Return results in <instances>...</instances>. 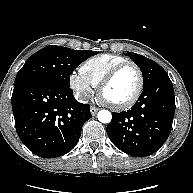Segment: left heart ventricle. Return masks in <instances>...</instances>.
<instances>
[{
	"instance_id": "1",
	"label": "left heart ventricle",
	"mask_w": 193,
	"mask_h": 193,
	"mask_svg": "<svg viewBox=\"0 0 193 193\" xmlns=\"http://www.w3.org/2000/svg\"><path fill=\"white\" fill-rule=\"evenodd\" d=\"M138 85V74L133 67L120 71L103 91V98L113 104L128 100Z\"/></svg>"
}]
</instances>
